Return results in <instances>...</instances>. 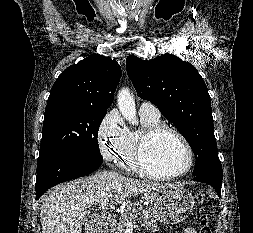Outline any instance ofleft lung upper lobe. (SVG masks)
<instances>
[{"instance_id": "5c2ea615", "label": "left lung upper lobe", "mask_w": 253, "mask_h": 233, "mask_svg": "<svg viewBox=\"0 0 253 233\" xmlns=\"http://www.w3.org/2000/svg\"><path fill=\"white\" fill-rule=\"evenodd\" d=\"M126 67L140 97L155 104L190 144L196 155L193 176L222 177L210 96L196 68L168 53L149 61L130 55Z\"/></svg>"}]
</instances>
